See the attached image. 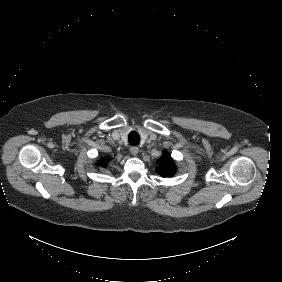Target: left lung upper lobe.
I'll list each match as a JSON object with an SVG mask.
<instances>
[{
	"instance_id": "5c2ea615",
	"label": "left lung upper lobe",
	"mask_w": 282,
	"mask_h": 282,
	"mask_svg": "<svg viewBox=\"0 0 282 282\" xmlns=\"http://www.w3.org/2000/svg\"><path fill=\"white\" fill-rule=\"evenodd\" d=\"M156 172L162 177H172L176 172V166L167 152L157 160Z\"/></svg>"
}]
</instances>
